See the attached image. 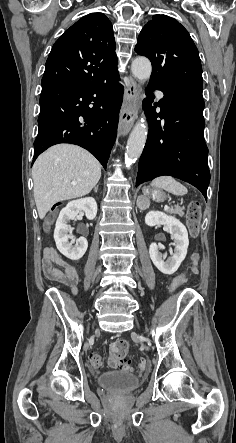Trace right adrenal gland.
<instances>
[{
  "mask_svg": "<svg viewBox=\"0 0 236 443\" xmlns=\"http://www.w3.org/2000/svg\"><path fill=\"white\" fill-rule=\"evenodd\" d=\"M98 185L94 188V192L97 193Z\"/></svg>",
  "mask_w": 236,
  "mask_h": 443,
  "instance_id": "right-adrenal-gland-1",
  "label": "right adrenal gland"
}]
</instances>
